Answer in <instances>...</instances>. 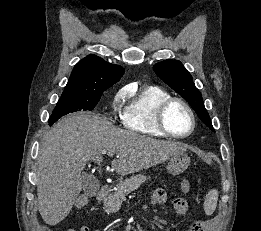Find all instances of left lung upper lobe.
<instances>
[{
  "mask_svg": "<svg viewBox=\"0 0 261 231\" xmlns=\"http://www.w3.org/2000/svg\"><path fill=\"white\" fill-rule=\"evenodd\" d=\"M153 69L157 76L179 93L195 110L198 117L214 131L201 93L195 87L192 76L182 63L177 60H165L154 65Z\"/></svg>",
  "mask_w": 261,
  "mask_h": 231,
  "instance_id": "1",
  "label": "left lung upper lobe"
}]
</instances>
